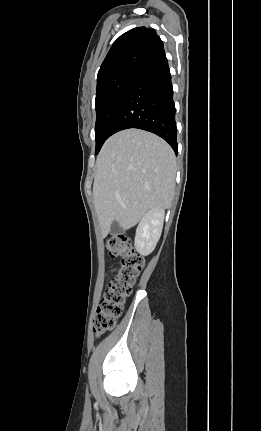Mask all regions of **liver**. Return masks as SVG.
Returning a JSON list of instances; mask_svg holds the SVG:
<instances>
[{"label":"liver","mask_w":261,"mask_h":431,"mask_svg":"<svg viewBox=\"0 0 261 431\" xmlns=\"http://www.w3.org/2000/svg\"><path fill=\"white\" fill-rule=\"evenodd\" d=\"M94 207L106 237L114 221L128 230L152 209L169 207L175 188L172 148L153 133L126 129L112 135L97 160Z\"/></svg>","instance_id":"6515ba94"}]
</instances>
